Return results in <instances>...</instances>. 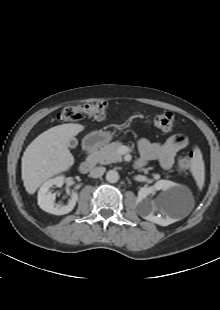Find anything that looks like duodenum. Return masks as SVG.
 I'll use <instances>...</instances> for the list:
<instances>
[{
    "label": "duodenum",
    "instance_id": "duodenum-1",
    "mask_svg": "<svg viewBox=\"0 0 220 310\" xmlns=\"http://www.w3.org/2000/svg\"><path fill=\"white\" fill-rule=\"evenodd\" d=\"M85 150L89 153L90 157L80 164L79 169L82 173L87 174L93 169L96 162L93 156L96 151V145L86 143Z\"/></svg>",
    "mask_w": 220,
    "mask_h": 310
}]
</instances>
